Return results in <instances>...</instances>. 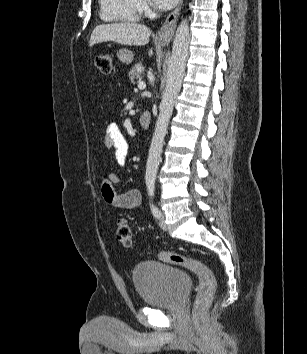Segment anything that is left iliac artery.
Wrapping results in <instances>:
<instances>
[{
    "label": "left iliac artery",
    "mask_w": 307,
    "mask_h": 354,
    "mask_svg": "<svg viewBox=\"0 0 307 354\" xmlns=\"http://www.w3.org/2000/svg\"><path fill=\"white\" fill-rule=\"evenodd\" d=\"M147 189H148L149 197L151 199V211H152V214L154 215V217L159 218L160 215H161V212L158 209V207L152 201V199L154 197L155 185L154 184H148L147 185Z\"/></svg>",
    "instance_id": "obj_1"
}]
</instances>
